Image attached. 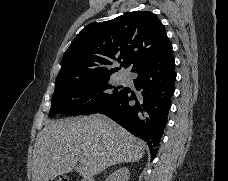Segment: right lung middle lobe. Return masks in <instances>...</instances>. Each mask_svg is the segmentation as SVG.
I'll return each instance as SVG.
<instances>
[{
	"label": "right lung middle lobe",
	"instance_id": "dd1d6c3e",
	"mask_svg": "<svg viewBox=\"0 0 228 181\" xmlns=\"http://www.w3.org/2000/svg\"><path fill=\"white\" fill-rule=\"evenodd\" d=\"M109 77L110 75L56 86L50 114L77 116L100 113L125 92L123 86H111L108 83Z\"/></svg>",
	"mask_w": 228,
	"mask_h": 181
}]
</instances>
